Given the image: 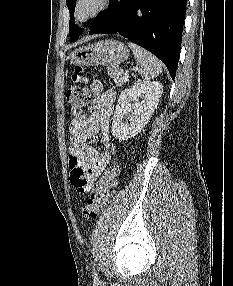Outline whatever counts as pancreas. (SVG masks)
I'll return each mask as SVG.
<instances>
[{
    "instance_id": "pancreas-1",
    "label": "pancreas",
    "mask_w": 233,
    "mask_h": 286,
    "mask_svg": "<svg viewBox=\"0 0 233 286\" xmlns=\"http://www.w3.org/2000/svg\"><path fill=\"white\" fill-rule=\"evenodd\" d=\"M108 75L113 78L117 86H123L128 82V77L124 76V71L118 68H109Z\"/></svg>"
}]
</instances>
